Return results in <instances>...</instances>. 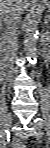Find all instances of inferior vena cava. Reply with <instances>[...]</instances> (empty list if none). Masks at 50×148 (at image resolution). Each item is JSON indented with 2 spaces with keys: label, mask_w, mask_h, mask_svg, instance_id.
Returning a JSON list of instances; mask_svg holds the SVG:
<instances>
[{
  "label": "inferior vena cava",
  "mask_w": 50,
  "mask_h": 148,
  "mask_svg": "<svg viewBox=\"0 0 50 148\" xmlns=\"http://www.w3.org/2000/svg\"><path fill=\"white\" fill-rule=\"evenodd\" d=\"M1 13L3 19V33L1 36V48L6 59L13 61L18 51L17 35L21 23V9L11 1Z\"/></svg>",
  "instance_id": "obj_1"
}]
</instances>
